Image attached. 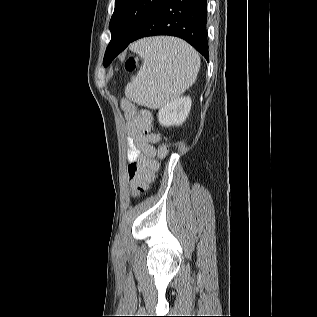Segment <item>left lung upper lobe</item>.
Masks as SVG:
<instances>
[{
  "instance_id": "left-lung-upper-lobe-1",
  "label": "left lung upper lobe",
  "mask_w": 317,
  "mask_h": 317,
  "mask_svg": "<svg viewBox=\"0 0 317 317\" xmlns=\"http://www.w3.org/2000/svg\"><path fill=\"white\" fill-rule=\"evenodd\" d=\"M163 1L116 0L115 10L110 21L111 41L121 44L130 41ZM109 58L110 55L106 51L104 66H108L112 61Z\"/></svg>"
}]
</instances>
